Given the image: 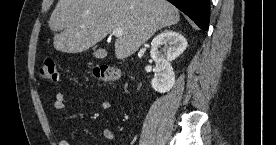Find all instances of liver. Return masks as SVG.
<instances>
[{
  "mask_svg": "<svg viewBox=\"0 0 276 145\" xmlns=\"http://www.w3.org/2000/svg\"><path fill=\"white\" fill-rule=\"evenodd\" d=\"M180 20L178 9L166 0H59L49 20L54 48L80 53L104 39L115 28V55L135 53L158 30Z\"/></svg>",
  "mask_w": 276,
  "mask_h": 145,
  "instance_id": "1",
  "label": "liver"
}]
</instances>
